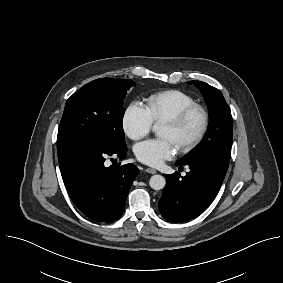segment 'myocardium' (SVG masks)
Returning <instances> with one entry per match:
<instances>
[{
    "label": "myocardium",
    "mask_w": 283,
    "mask_h": 283,
    "mask_svg": "<svg viewBox=\"0 0 283 283\" xmlns=\"http://www.w3.org/2000/svg\"><path fill=\"white\" fill-rule=\"evenodd\" d=\"M198 114L200 116V125L194 136L191 138L180 142L177 147L181 152H187L195 148L205 137L208 127H209V113L205 107L198 103H193L185 108H183L180 112H178L175 116L165 120L162 122L164 125H168L174 130H181L186 123L190 120V118L194 115Z\"/></svg>",
    "instance_id": "myocardium-1"
}]
</instances>
